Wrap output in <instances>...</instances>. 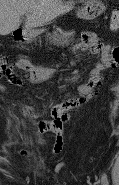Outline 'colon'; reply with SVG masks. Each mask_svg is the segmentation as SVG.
I'll use <instances>...</instances> for the list:
<instances>
[{
  "label": "colon",
  "instance_id": "colon-1",
  "mask_svg": "<svg viewBox=\"0 0 119 185\" xmlns=\"http://www.w3.org/2000/svg\"><path fill=\"white\" fill-rule=\"evenodd\" d=\"M118 27H119V10L115 9L110 17V28L115 30Z\"/></svg>",
  "mask_w": 119,
  "mask_h": 185
}]
</instances>
